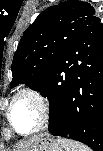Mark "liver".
Segmentation results:
<instances>
[{"mask_svg": "<svg viewBox=\"0 0 103 151\" xmlns=\"http://www.w3.org/2000/svg\"><path fill=\"white\" fill-rule=\"evenodd\" d=\"M32 140H34V138H32L31 140H29L28 142H25L23 144H21L16 151H25L28 147L29 142H31Z\"/></svg>", "mask_w": 103, "mask_h": 151, "instance_id": "6515ba94", "label": "liver"}]
</instances>
